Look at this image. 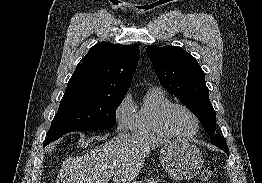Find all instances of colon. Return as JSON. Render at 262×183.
Wrapping results in <instances>:
<instances>
[{
  "label": "colon",
  "instance_id": "obj_1",
  "mask_svg": "<svg viewBox=\"0 0 262 183\" xmlns=\"http://www.w3.org/2000/svg\"><path fill=\"white\" fill-rule=\"evenodd\" d=\"M211 179V171L210 170H202L199 173V180L201 182H208Z\"/></svg>",
  "mask_w": 262,
  "mask_h": 183
}]
</instances>
